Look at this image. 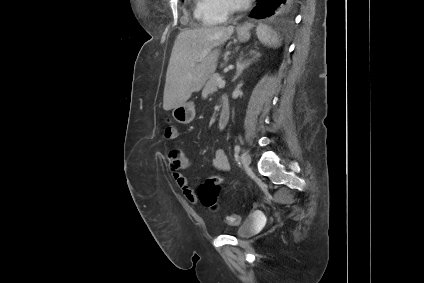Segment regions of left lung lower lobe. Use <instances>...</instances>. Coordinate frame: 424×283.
<instances>
[{
    "mask_svg": "<svg viewBox=\"0 0 424 283\" xmlns=\"http://www.w3.org/2000/svg\"><path fill=\"white\" fill-rule=\"evenodd\" d=\"M298 0H258L255 8L251 11L250 17L255 19H265L289 14L296 6Z\"/></svg>",
    "mask_w": 424,
    "mask_h": 283,
    "instance_id": "1",
    "label": "left lung lower lobe"
}]
</instances>
